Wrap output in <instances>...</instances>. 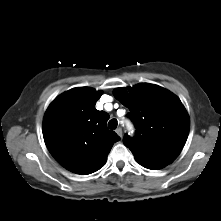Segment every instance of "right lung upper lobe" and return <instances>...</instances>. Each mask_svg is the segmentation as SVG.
<instances>
[{"instance_id":"obj_1","label":"right lung upper lobe","mask_w":221,"mask_h":221,"mask_svg":"<svg viewBox=\"0 0 221 221\" xmlns=\"http://www.w3.org/2000/svg\"><path fill=\"white\" fill-rule=\"evenodd\" d=\"M101 91L90 87L70 89L48 107L43 137L51 155L63 167L87 175L99 170L120 137L106 123L109 115L95 108Z\"/></svg>"}]
</instances>
